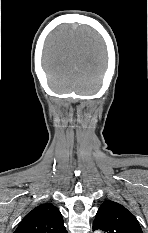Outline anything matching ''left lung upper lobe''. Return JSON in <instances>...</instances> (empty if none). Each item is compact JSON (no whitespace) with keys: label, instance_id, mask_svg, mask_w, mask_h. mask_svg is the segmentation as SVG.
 <instances>
[{"label":"left lung upper lobe","instance_id":"5c2ea615","mask_svg":"<svg viewBox=\"0 0 148 233\" xmlns=\"http://www.w3.org/2000/svg\"><path fill=\"white\" fill-rule=\"evenodd\" d=\"M93 230L104 233H143L136 217L123 205L106 200L99 208Z\"/></svg>","mask_w":148,"mask_h":233}]
</instances>
